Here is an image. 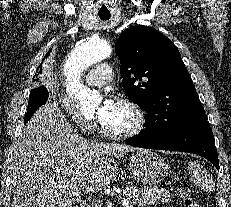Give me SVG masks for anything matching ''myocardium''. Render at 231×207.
<instances>
[{
  "label": "myocardium",
  "instance_id": "1",
  "mask_svg": "<svg viewBox=\"0 0 231 207\" xmlns=\"http://www.w3.org/2000/svg\"><path fill=\"white\" fill-rule=\"evenodd\" d=\"M120 104L128 107L135 116V125L133 128L123 131V132H115L108 129L104 124L101 125L102 132L109 138L116 140H125L132 137H135L142 133L146 128L147 118L144 110L141 108L139 104H137L134 100L128 97H122L119 100Z\"/></svg>",
  "mask_w": 231,
  "mask_h": 207
}]
</instances>
